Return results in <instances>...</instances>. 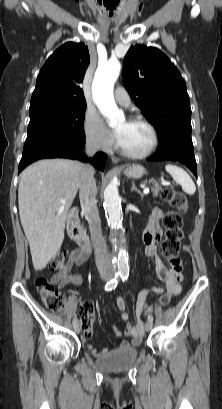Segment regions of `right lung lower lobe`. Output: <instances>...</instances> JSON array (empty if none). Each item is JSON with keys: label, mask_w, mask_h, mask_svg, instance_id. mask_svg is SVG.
Here are the masks:
<instances>
[{"label": "right lung lower lobe", "mask_w": 222, "mask_h": 409, "mask_svg": "<svg viewBox=\"0 0 222 409\" xmlns=\"http://www.w3.org/2000/svg\"><path fill=\"white\" fill-rule=\"evenodd\" d=\"M85 142L71 151H37L31 154L25 155L22 157L20 164H19V172H21L27 165L30 163L43 159V158H70V159H78L81 161L86 162L88 159L87 157L81 152L84 149ZM106 154L100 152L97 153L92 159H90L91 163L98 169L103 170L106 162Z\"/></svg>", "instance_id": "98d812e1"}]
</instances>
